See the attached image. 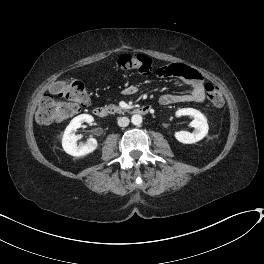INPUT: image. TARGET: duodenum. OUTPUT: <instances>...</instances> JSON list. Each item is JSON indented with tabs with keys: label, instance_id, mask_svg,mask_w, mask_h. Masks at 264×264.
I'll use <instances>...</instances> for the list:
<instances>
[{
	"label": "duodenum",
	"instance_id": "410a0bca",
	"mask_svg": "<svg viewBox=\"0 0 264 264\" xmlns=\"http://www.w3.org/2000/svg\"><path fill=\"white\" fill-rule=\"evenodd\" d=\"M152 107L149 105H140L134 109L136 115H146L151 111ZM95 116L104 118L107 115L106 109L103 106H97L94 108Z\"/></svg>",
	"mask_w": 264,
	"mask_h": 264
}]
</instances>
